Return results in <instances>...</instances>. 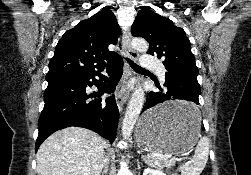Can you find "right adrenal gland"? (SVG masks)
Wrapping results in <instances>:
<instances>
[{
	"label": "right adrenal gland",
	"instance_id": "right-adrenal-gland-1",
	"mask_svg": "<svg viewBox=\"0 0 251 175\" xmlns=\"http://www.w3.org/2000/svg\"><path fill=\"white\" fill-rule=\"evenodd\" d=\"M108 169H109V165H107V163H105L104 169H103V171H102V175H107Z\"/></svg>",
	"mask_w": 251,
	"mask_h": 175
}]
</instances>
